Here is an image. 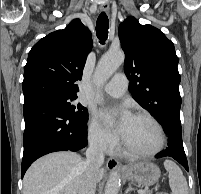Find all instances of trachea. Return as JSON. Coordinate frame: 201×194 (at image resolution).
<instances>
[{
    "instance_id": "obj_1",
    "label": "trachea",
    "mask_w": 201,
    "mask_h": 194,
    "mask_svg": "<svg viewBox=\"0 0 201 194\" xmlns=\"http://www.w3.org/2000/svg\"><path fill=\"white\" fill-rule=\"evenodd\" d=\"M109 21L107 15L102 12L96 22V35L101 44H104L108 37Z\"/></svg>"
}]
</instances>
